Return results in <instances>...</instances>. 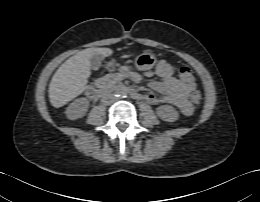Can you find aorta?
Segmentation results:
<instances>
[{"mask_svg": "<svg viewBox=\"0 0 260 202\" xmlns=\"http://www.w3.org/2000/svg\"><path fill=\"white\" fill-rule=\"evenodd\" d=\"M118 96H124V93L121 92V93L118 94Z\"/></svg>", "mask_w": 260, "mask_h": 202, "instance_id": "1", "label": "aorta"}]
</instances>
